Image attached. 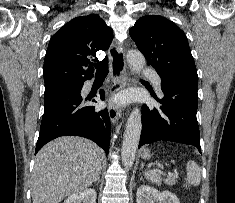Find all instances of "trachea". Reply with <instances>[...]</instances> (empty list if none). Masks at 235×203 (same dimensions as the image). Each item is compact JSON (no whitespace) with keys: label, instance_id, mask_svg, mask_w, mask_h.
Returning <instances> with one entry per match:
<instances>
[{"label":"trachea","instance_id":"trachea-1","mask_svg":"<svg viewBox=\"0 0 235 203\" xmlns=\"http://www.w3.org/2000/svg\"><path fill=\"white\" fill-rule=\"evenodd\" d=\"M96 75L97 76H106L108 74V59L106 58L104 61L95 64Z\"/></svg>","mask_w":235,"mask_h":203}]
</instances>
